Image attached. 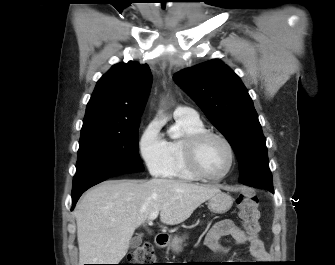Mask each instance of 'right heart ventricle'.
<instances>
[{
    "mask_svg": "<svg viewBox=\"0 0 335 265\" xmlns=\"http://www.w3.org/2000/svg\"><path fill=\"white\" fill-rule=\"evenodd\" d=\"M175 119L176 125L183 131L184 136L167 141L169 165L163 176L186 182L196 181L198 178L191 173L185 161L184 143L189 136L206 130L205 126L200 119L195 121L181 118Z\"/></svg>",
    "mask_w": 335,
    "mask_h": 265,
    "instance_id": "obj_1",
    "label": "right heart ventricle"
}]
</instances>
